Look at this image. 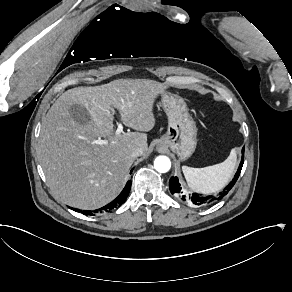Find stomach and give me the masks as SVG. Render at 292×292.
<instances>
[{
	"label": "stomach",
	"instance_id": "1",
	"mask_svg": "<svg viewBox=\"0 0 292 292\" xmlns=\"http://www.w3.org/2000/svg\"><path fill=\"white\" fill-rule=\"evenodd\" d=\"M163 106L169 124L167 132L160 138L156 149L170 147L180 159H187L196 148V124L189 115L185 102L180 97L165 95Z\"/></svg>",
	"mask_w": 292,
	"mask_h": 292
}]
</instances>
